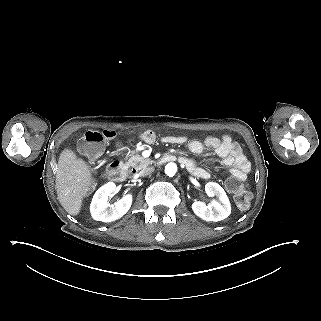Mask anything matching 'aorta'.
Here are the masks:
<instances>
[{
	"label": "aorta",
	"instance_id": "obj_1",
	"mask_svg": "<svg viewBox=\"0 0 321 321\" xmlns=\"http://www.w3.org/2000/svg\"><path fill=\"white\" fill-rule=\"evenodd\" d=\"M177 172V165L175 163H168L165 166V174L169 177H173Z\"/></svg>",
	"mask_w": 321,
	"mask_h": 321
}]
</instances>
